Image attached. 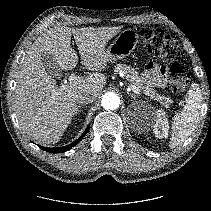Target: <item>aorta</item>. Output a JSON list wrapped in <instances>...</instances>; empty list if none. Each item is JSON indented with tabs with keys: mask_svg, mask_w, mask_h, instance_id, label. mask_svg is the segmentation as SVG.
<instances>
[{
	"mask_svg": "<svg viewBox=\"0 0 211 211\" xmlns=\"http://www.w3.org/2000/svg\"><path fill=\"white\" fill-rule=\"evenodd\" d=\"M101 104L106 110H114L119 107L120 98L117 94L109 92L103 95Z\"/></svg>",
	"mask_w": 211,
	"mask_h": 211,
	"instance_id": "aorta-1",
	"label": "aorta"
}]
</instances>
